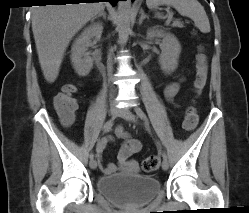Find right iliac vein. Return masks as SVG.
Wrapping results in <instances>:
<instances>
[{"mask_svg": "<svg viewBox=\"0 0 249 213\" xmlns=\"http://www.w3.org/2000/svg\"><path fill=\"white\" fill-rule=\"evenodd\" d=\"M118 114H119V109H118V107L116 105L113 104L110 107V115L112 116V118H115V117L118 116ZM89 166H90L91 169H95L97 167L96 160L91 159L90 162H89Z\"/></svg>", "mask_w": 249, "mask_h": 213, "instance_id": "1", "label": "right iliac vein"}]
</instances>
